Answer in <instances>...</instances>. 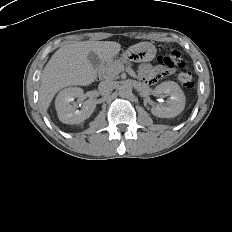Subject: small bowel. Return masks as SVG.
Returning <instances> with one entry per match:
<instances>
[{
    "mask_svg": "<svg viewBox=\"0 0 232 232\" xmlns=\"http://www.w3.org/2000/svg\"><path fill=\"white\" fill-rule=\"evenodd\" d=\"M141 76L145 77L147 86H154L156 82L163 80L164 78H173L174 69L166 67H158L153 69L149 64H143L139 70Z\"/></svg>",
    "mask_w": 232,
    "mask_h": 232,
    "instance_id": "small-bowel-1",
    "label": "small bowel"
}]
</instances>
